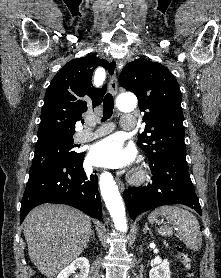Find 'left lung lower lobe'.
Listing matches in <instances>:
<instances>
[{"instance_id": "left-lung-lower-lobe-1", "label": "left lung lower lobe", "mask_w": 221, "mask_h": 278, "mask_svg": "<svg viewBox=\"0 0 221 278\" xmlns=\"http://www.w3.org/2000/svg\"><path fill=\"white\" fill-rule=\"evenodd\" d=\"M150 169L151 184L144 187H129L124 191V200L133 220L142 212L169 204H184L202 215L188 173L186 156H168L159 163L150 165Z\"/></svg>"}]
</instances>
